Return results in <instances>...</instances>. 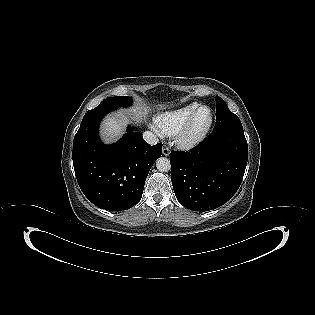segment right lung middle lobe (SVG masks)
<instances>
[{"instance_id":"obj_1","label":"right lung middle lobe","mask_w":315,"mask_h":315,"mask_svg":"<svg viewBox=\"0 0 315 315\" xmlns=\"http://www.w3.org/2000/svg\"><path fill=\"white\" fill-rule=\"evenodd\" d=\"M132 100L127 96H117V97H108L103 100L98 106H128L131 104Z\"/></svg>"}]
</instances>
